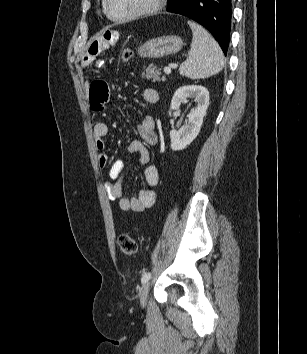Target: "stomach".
I'll return each instance as SVG.
<instances>
[{"label":"stomach","mask_w":307,"mask_h":354,"mask_svg":"<svg viewBox=\"0 0 307 354\" xmlns=\"http://www.w3.org/2000/svg\"><path fill=\"white\" fill-rule=\"evenodd\" d=\"M183 41L179 36L166 35L148 40L138 49L140 57L158 59L179 52Z\"/></svg>","instance_id":"stomach-1"}]
</instances>
